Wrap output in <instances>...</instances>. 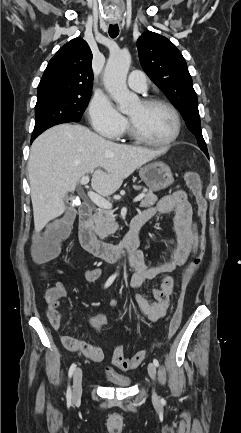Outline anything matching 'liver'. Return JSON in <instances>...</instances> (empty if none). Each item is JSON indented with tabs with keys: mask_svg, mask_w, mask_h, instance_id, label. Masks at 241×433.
I'll return each instance as SVG.
<instances>
[{
	"mask_svg": "<svg viewBox=\"0 0 241 433\" xmlns=\"http://www.w3.org/2000/svg\"><path fill=\"white\" fill-rule=\"evenodd\" d=\"M162 154L117 144L82 125L61 124L41 134L28 160L34 226L39 233L65 211L64 197L91 173V187L110 196L138 167Z\"/></svg>",
	"mask_w": 241,
	"mask_h": 433,
	"instance_id": "1",
	"label": "liver"
}]
</instances>
